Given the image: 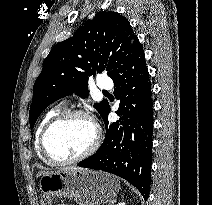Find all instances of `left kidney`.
<instances>
[{
    "label": "left kidney",
    "instance_id": "left-kidney-1",
    "mask_svg": "<svg viewBox=\"0 0 212 205\" xmlns=\"http://www.w3.org/2000/svg\"><path fill=\"white\" fill-rule=\"evenodd\" d=\"M117 205H126L124 202H122V203H118Z\"/></svg>",
    "mask_w": 212,
    "mask_h": 205
}]
</instances>
